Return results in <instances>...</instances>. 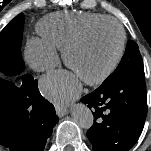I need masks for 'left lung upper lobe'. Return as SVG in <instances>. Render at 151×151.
I'll use <instances>...</instances> for the list:
<instances>
[{
  "instance_id": "left-lung-upper-lobe-1",
  "label": "left lung upper lobe",
  "mask_w": 151,
  "mask_h": 151,
  "mask_svg": "<svg viewBox=\"0 0 151 151\" xmlns=\"http://www.w3.org/2000/svg\"><path fill=\"white\" fill-rule=\"evenodd\" d=\"M135 69H144L143 60L135 41L130 40L125 54L116 70L102 83L100 87L109 86L123 75Z\"/></svg>"
}]
</instances>
